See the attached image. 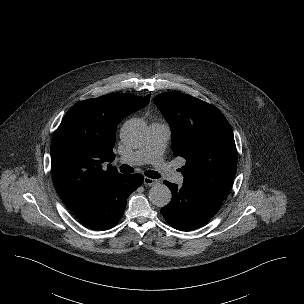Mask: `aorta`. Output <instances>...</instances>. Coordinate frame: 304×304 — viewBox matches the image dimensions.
Segmentation results:
<instances>
[{"label": "aorta", "instance_id": "aorta-1", "mask_svg": "<svg viewBox=\"0 0 304 304\" xmlns=\"http://www.w3.org/2000/svg\"><path fill=\"white\" fill-rule=\"evenodd\" d=\"M121 139L129 147L142 145L148 135V129L142 120L131 119L121 128ZM172 194L170 189L164 184H155L149 191L150 202L157 207H164L170 203Z\"/></svg>", "mask_w": 304, "mask_h": 304}]
</instances>
